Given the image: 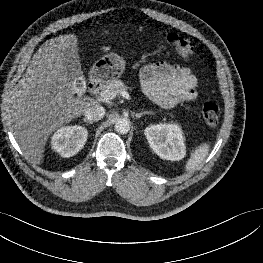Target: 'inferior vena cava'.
Segmentation results:
<instances>
[{
	"mask_svg": "<svg viewBox=\"0 0 263 263\" xmlns=\"http://www.w3.org/2000/svg\"><path fill=\"white\" fill-rule=\"evenodd\" d=\"M84 114L88 121L95 122L104 117L105 109L101 105L94 103L85 110Z\"/></svg>",
	"mask_w": 263,
	"mask_h": 263,
	"instance_id": "1",
	"label": "inferior vena cava"
}]
</instances>
